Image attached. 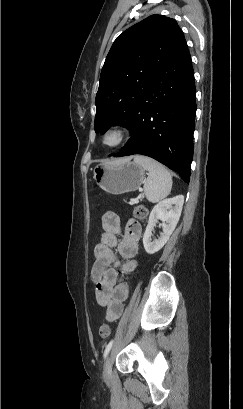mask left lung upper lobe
Instances as JSON below:
<instances>
[{
	"instance_id": "1",
	"label": "left lung upper lobe",
	"mask_w": 243,
	"mask_h": 409,
	"mask_svg": "<svg viewBox=\"0 0 243 409\" xmlns=\"http://www.w3.org/2000/svg\"><path fill=\"white\" fill-rule=\"evenodd\" d=\"M183 40L177 22L164 15H151L116 38L100 75L96 133L112 125L129 128L152 79Z\"/></svg>"
}]
</instances>
